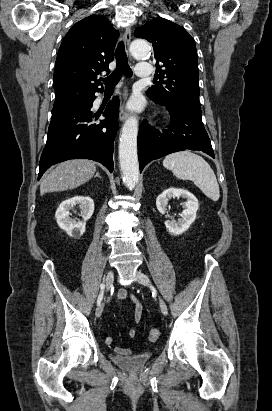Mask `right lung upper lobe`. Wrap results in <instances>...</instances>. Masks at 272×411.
<instances>
[{
  "mask_svg": "<svg viewBox=\"0 0 272 411\" xmlns=\"http://www.w3.org/2000/svg\"><path fill=\"white\" fill-rule=\"evenodd\" d=\"M119 32L104 17L91 15L74 24L63 39L54 71V104L75 96L90 97L98 88L97 79L114 59Z\"/></svg>",
  "mask_w": 272,
  "mask_h": 411,
  "instance_id": "obj_1",
  "label": "right lung upper lobe"
}]
</instances>
